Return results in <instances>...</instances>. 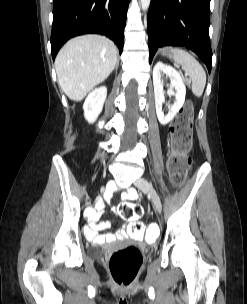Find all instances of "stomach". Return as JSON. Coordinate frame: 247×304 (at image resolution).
I'll list each match as a JSON object with an SVG mask.
<instances>
[{"label":"stomach","mask_w":247,"mask_h":304,"mask_svg":"<svg viewBox=\"0 0 247 304\" xmlns=\"http://www.w3.org/2000/svg\"><path fill=\"white\" fill-rule=\"evenodd\" d=\"M162 54H163V55H168V54H169V49H168V48L163 49V50H162Z\"/></svg>","instance_id":"obj_1"}]
</instances>
